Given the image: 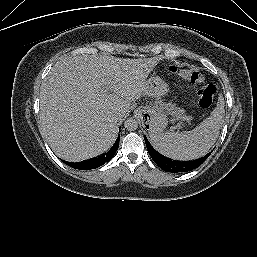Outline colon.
Returning <instances> with one entry per match:
<instances>
[{"label": "colon", "mask_w": 257, "mask_h": 257, "mask_svg": "<svg viewBox=\"0 0 257 257\" xmlns=\"http://www.w3.org/2000/svg\"><path fill=\"white\" fill-rule=\"evenodd\" d=\"M167 76H179L191 83L200 84L198 90V103L202 109H209L213 102L217 92V87L214 83L207 81L205 75L198 70H181L174 66L166 68Z\"/></svg>", "instance_id": "colon-1"}]
</instances>
